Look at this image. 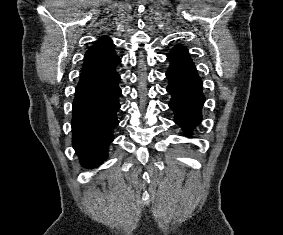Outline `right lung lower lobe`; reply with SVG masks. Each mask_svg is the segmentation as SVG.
I'll use <instances>...</instances> for the list:
<instances>
[{"mask_svg":"<svg viewBox=\"0 0 283 235\" xmlns=\"http://www.w3.org/2000/svg\"><path fill=\"white\" fill-rule=\"evenodd\" d=\"M120 76L115 71L107 75L79 82L75 91L72 116V144L85 167L101 164L113 141V129L119 121L118 86Z\"/></svg>","mask_w":283,"mask_h":235,"instance_id":"1","label":"right lung lower lobe"}]
</instances>
